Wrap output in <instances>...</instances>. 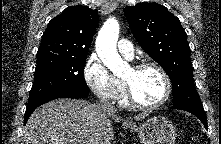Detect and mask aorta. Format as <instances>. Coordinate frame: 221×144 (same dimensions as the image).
<instances>
[{
	"instance_id": "762f6f07",
	"label": "aorta",
	"mask_w": 221,
	"mask_h": 144,
	"mask_svg": "<svg viewBox=\"0 0 221 144\" xmlns=\"http://www.w3.org/2000/svg\"><path fill=\"white\" fill-rule=\"evenodd\" d=\"M120 26L116 19H108L100 29L96 38V52L103 64L115 76H122L129 68V64L119 55L116 43Z\"/></svg>"
}]
</instances>
